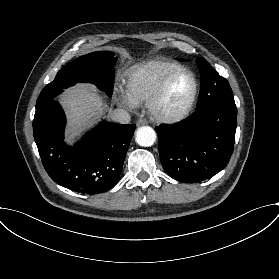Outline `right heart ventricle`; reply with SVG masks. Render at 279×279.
Masks as SVG:
<instances>
[{"label": "right heart ventricle", "instance_id": "1", "mask_svg": "<svg viewBox=\"0 0 279 279\" xmlns=\"http://www.w3.org/2000/svg\"><path fill=\"white\" fill-rule=\"evenodd\" d=\"M181 69L186 67L169 60H151L138 64L129 70L126 88L142 101H147L167 76Z\"/></svg>", "mask_w": 279, "mask_h": 279}]
</instances>
